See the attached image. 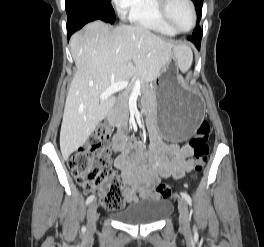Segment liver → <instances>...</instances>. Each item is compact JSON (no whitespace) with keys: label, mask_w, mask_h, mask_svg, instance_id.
Here are the masks:
<instances>
[{"label":"liver","mask_w":264,"mask_h":247,"mask_svg":"<svg viewBox=\"0 0 264 247\" xmlns=\"http://www.w3.org/2000/svg\"><path fill=\"white\" fill-rule=\"evenodd\" d=\"M77 71L66 98L60 132L64 159L82 146L99 122L113 108L114 96L101 100L100 94L112 83L137 76L153 81L170 61L174 47L150 30L121 25L110 29L94 21L70 39Z\"/></svg>","instance_id":"obj_1"}]
</instances>
